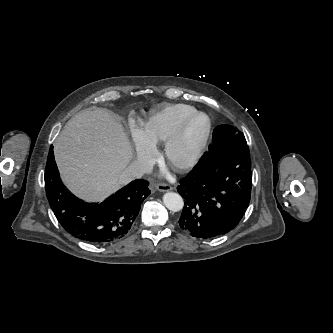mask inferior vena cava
I'll return each instance as SVG.
<instances>
[{
  "label": "inferior vena cava",
  "mask_w": 333,
  "mask_h": 333,
  "mask_svg": "<svg viewBox=\"0 0 333 333\" xmlns=\"http://www.w3.org/2000/svg\"><path fill=\"white\" fill-rule=\"evenodd\" d=\"M151 167L145 162L133 161L120 175V181L127 183L134 179L141 178L145 173L150 171Z\"/></svg>",
  "instance_id": "602c4592"
}]
</instances>
